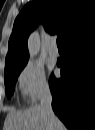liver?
Segmentation results:
<instances>
[{
	"label": "liver",
	"instance_id": "obj_1",
	"mask_svg": "<svg viewBox=\"0 0 95 130\" xmlns=\"http://www.w3.org/2000/svg\"><path fill=\"white\" fill-rule=\"evenodd\" d=\"M55 128L66 130L59 119ZM4 130H49V124L40 105H34L23 110H11L5 118Z\"/></svg>",
	"mask_w": 95,
	"mask_h": 130
}]
</instances>
